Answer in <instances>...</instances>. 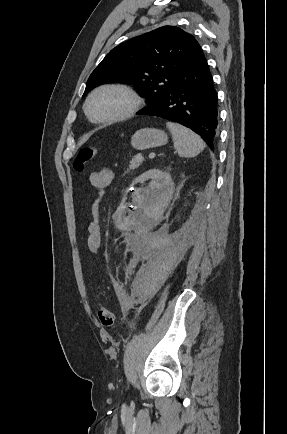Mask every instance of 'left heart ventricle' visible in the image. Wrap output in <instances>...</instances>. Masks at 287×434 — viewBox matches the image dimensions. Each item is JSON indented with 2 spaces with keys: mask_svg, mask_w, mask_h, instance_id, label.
<instances>
[{
  "mask_svg": "<svg viewBox=\"0 0 287 434\" xmlns=\"http://www.w3.org/2000/svg\"><path fill=\"white\" fill-rule=\"evenodd\" d=\"M129 104L128 97L117 90H107L96 95L90 103V113L95 118L120 114Z\"/></svg>",
  "mask_w": 287,
  "mask_h": 434,
  "instance_id": "1",
  "label": "left heart ventricle"
}]
</instances>
